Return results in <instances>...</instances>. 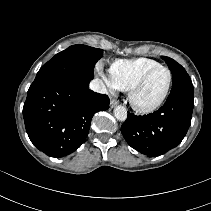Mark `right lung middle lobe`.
<instances>
[{
    "label": "right lung middle lobe",
    "instance_id": "right-lung-middle-lobe-1",
    "mask_svg": "<svg viewBox=\"0 0 211 211\" xmlns=\"http://www.w3.org/2000/svg\"><path fill=\"white\" fill-rule=\"evenodd\" d=\"M102 56V49L72 45L42 66L34 81L63 79L88 85L94 77V65Z\"/></svg>",
    "mask_w": 211,
    "mask_h": 211
}]
</instances>
